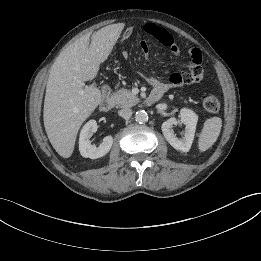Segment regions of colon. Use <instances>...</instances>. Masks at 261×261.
Here are the masks:
<instances>
[{
  "mask_svg": "<svg viewBox=\"0 0 261 261\" xmlns=\"http://www.w3.org/2000/svg\"><path fill=\"white\" fill-rule=\"evenodd\" d=\"M133 34L134 28L132 26H127L123 33L119 35L117 44L122 46ZM203 107L208 112H217L220 109V100L217 96L209 94L203 100Z\"/></svg>",
  "mask_w": 261,
  "mask_h": 261,
  "instance_id": "obj_1",
  "label": "colon"
}]
</instances>
